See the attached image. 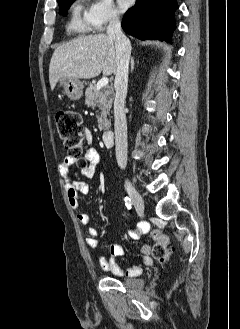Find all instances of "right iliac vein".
<instances>
[{"mask_svg":"<svg viewBox=\"0 0 240 329\" xmlns=\"http://www.w3.org/2000/svg\"><path fill=\"white\" fill-rule=\"evenodd\" d=\"M127 192L132 200V203L139 214H143L144 212V201L139 194V192L133 187V185L126 181L125 183Z\"/></svg>","mask_w":240,"mask_h":329,"instance_id":"obj_1","label":"right iliac vein"}]
</instances>
